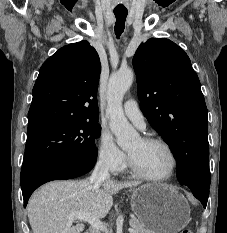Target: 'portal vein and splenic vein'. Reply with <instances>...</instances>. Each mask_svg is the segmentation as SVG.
Masks as SVG:
<instances>
[{
	"mask_svg": "<svg viewBox=\"0 0 227 233\" xmlns=\"http://www.w3.org/2000/svg\"><path fill=\"white\" fill-rule=\"evenodd\" d=\"M69 221L73 220H83L91 224L96 230L104 231L105 233H111L107 227L99 220V218L93 216L88 212H73L66 216ZM130 232H133V229H129Z\"/></svg>",
	"mask_w": 227,
	"mask_h": 233,
	"instance_id": "portal-vein-and-splenic-vein-1",
	"label": "portal vein and splenic vein"
}]
</instances>
